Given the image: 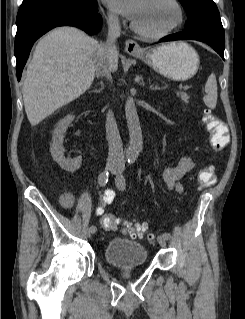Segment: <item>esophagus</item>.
<instances>
[{
  "label": "esophagus",
  "instance_id": "34e87169",
  "mask_svg": "<svg viewBox=\"0 0 245 319\" xmlns=\"http://www.w3.org/2000/svg\"><path fill=\"white\" fill-rule=\"evenodd\" d=\"M125 50L128 54H140L143 52L142 48L139 46V44L132 40L128 39L125 42Z\"/></svg>",
  "mask_w": 245,
  "mask_h": 319
}]
</instances>
